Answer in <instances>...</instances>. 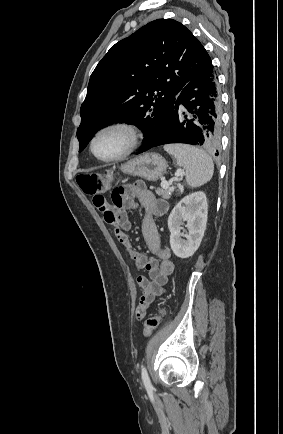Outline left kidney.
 I'll list each match as a JSON object with an SVG mask.
<instances>
[{"instance_id": "left-kidney-1", "label": "left kidney", "mask_w": 283, "mask_h": 434, "mask_svg": "<svg viewBox=\"0 0 283 434\" xmlns=\"http://www.w3.org/2000/svg\"><path fill=\"white\" fill-rule=\"evenodd\" d=\"M207 215V198L202 191L185 196L173 208L168 217V228L170 246L177 257L188 258L197 251L206 229ZM185 221L187 230L181 232Z\"/></svg>"}]
</instances>
